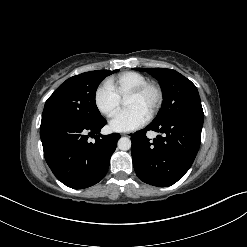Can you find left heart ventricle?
Returning a JSON list of instances; mask_svg holds the SVG:
<instances>
[{
    "mask_svg": "<svg viewBox=\"0 0 247 247\" xmlns=\"http://www.w3.org/2000/svg\"><path fill=\"white\" fill-rule=\"evenodd\" d=\"M155 100V94L153 91H147L145 94L139 97H126L125 106L129 107H139L147 114Z\"/></svg>",
    "mask_w": 247,
    "mask_h": 247,
    "instance_id": "b2bd125f",
    "label": "left heart ventricle"
}]
</instances>
